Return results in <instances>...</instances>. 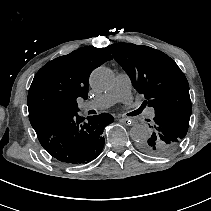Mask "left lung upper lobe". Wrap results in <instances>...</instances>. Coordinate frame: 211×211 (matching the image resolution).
Listing matches in <instances>:
<instances>
[{
    "label": "left lung upper lobe",
    "mask_w": 211,
    "mask_h": 211,
    "mask_svg": "<svg viewBox=\"0 0 211 211\" xmlns=\"http://www.w3.org/2000/svg\"><path fill=\"white\" fill-rule=\"evenodd\" d=\"M107 49L145 97L140 110L148 106L155 111L153 133L141 144L142 150L157 156L173 152L184 141L192 110L185 75L169 56L154 48L115 43Z\"/></svg>",
    "instance_id": "5c2ea615"
}]
</instances>
